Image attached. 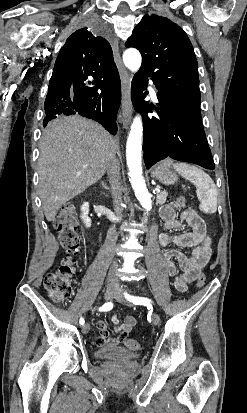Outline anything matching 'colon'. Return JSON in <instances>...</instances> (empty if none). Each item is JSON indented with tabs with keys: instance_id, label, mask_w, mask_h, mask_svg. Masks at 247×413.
<instances>
[{
	"instance_id": "1",
	"label": "colon",
	"mask_w": 247,
	"mask_h": 413,
	"mask_svg": "<svg viewBox=\"0 0 247 413\" xmlns=\"http://www.w3.org/2000/svg\"><path fill=\"white\" fill-rule=\"evenodd\" d=\"M186 202L187 197L185 195H180L175 200L177 207H184ZM75 222L76 208L73 204H66L54 220V228L62 245L64 256L62 263L44 277L43 285L53 301L58 304L70 301L73 296L71 280L80 241V235L75 228ZM196 279L197 285L202 287L206 282L204 272H201V275L196 277ZM123 342L131 350H138L140 347V344L131 338L123 340ZM117 378L119 381H126L128 375L126 372H119Z\"/></svg>"
}]
</instances>
